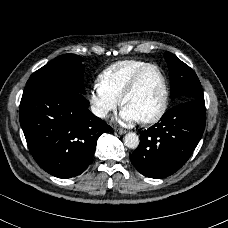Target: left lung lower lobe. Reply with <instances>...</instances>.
<instances>
[{"mask_svg":"<svg viewBox=\"0 0 228 228\" xmlns=\"http://www.w3.org/2000/svg\"><path fill=\"white\" fill-rule=\"evenodd\" d=\"M205 128L204 100H188L140 132V144L130 155L133 166L144 176L164 178L179 170L190 158Z\"/></svg>","mask_w":228,"mask_h":228,"instance_id":"left-lung-lower-lobe-1","label":"left lung lower lobe"}]
</instances>
